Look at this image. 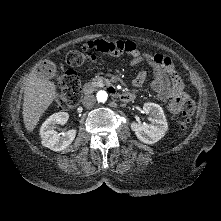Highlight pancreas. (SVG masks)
Instances as JSON below:
<instances>
[{
  "label": "pancreas",
  "instance_id": "obj_1",
  "mask_svg": "<svg viewBox=\"0 0 221 221\" xmlns=\"http://www.w3.org/2000/svg\"><path fill=\"white\" fill-rule=\"evenodd\" d=\"M93 87H103L106 85H110L111 82L109 79L104 77L96 76L90 83Z\"/></svg>",
  "mask_w": 221,
  "mask_h": 221
}]
</instances>
